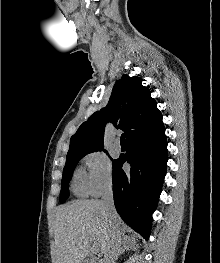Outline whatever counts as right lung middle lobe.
<instances>
[{
    "mask_svg": "<svg viewBox=\"0 0 220 263\" xmlns=\"http://www.w3.org/2000/svg\"><path fill=\"white\" fill-rule=\"evenodd\" d=\"M99 151V150H97ZM95 152V151H90V152H76V153H70L67 154L66 158V164L63 169V177H62V189H61V195H60V203H63L67 200L68 195H69V181L73 175V171L79 162L81 158H83L85 155ZM115 160H113L114 162Z\"/></svg>",
    "mask_w": 220,
    "mask_h": 263,
    "instance_id": "dd1d6c3e",
    "label": "right lung middle lobe"
}]
</instances>
